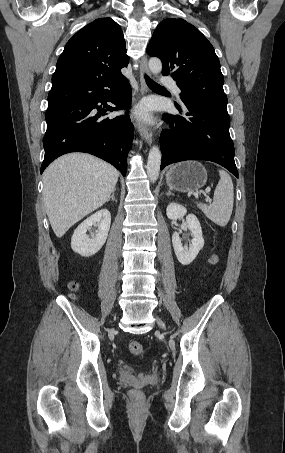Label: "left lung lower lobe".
<instances>
[{"label": "left lung lower lobe", "instance_id": "0a47b994", "mask_svg": "<svg viewBox=\"0 0 285 453\" xmlns=\"http://www.w3.org/2000/svg\"><path fill=\"white\" fill-rule=\"evenodd\" d=\"M184 104V116H163L171 130L162 133L160 138V169L184 160H208L222 165L238 177L227 107L197 100ZM177 109L182 111L180 106Z\"/></svg>", "mask_w": 285, "mask_h": 453}]
</instances>
